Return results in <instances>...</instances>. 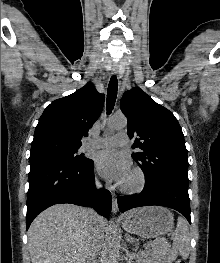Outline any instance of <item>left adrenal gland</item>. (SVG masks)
Wrapping results in <instances>:
<instances>
[{"label": "left adrenal gland", "instance_id": "obj_1", "mask_svg": "<svg viewBox=\"0 0 220 263\" xmlns=\"http://www.w3.org/2000/svg\"><path fill=\"white\" fill-rule=\"evenodd\" d=\"M127 242H130L131 244L135 243L134 238H131L128 234H125Z\"/></svg>", "mask_w": 220, "mask_h": 263}]
</instances>
